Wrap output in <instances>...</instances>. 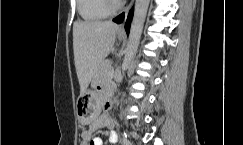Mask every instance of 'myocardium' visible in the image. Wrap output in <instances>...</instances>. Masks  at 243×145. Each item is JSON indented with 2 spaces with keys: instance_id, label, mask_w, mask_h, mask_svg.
<instances>
[{
  "instance_id": "f54148a6",
  "label": "myocardium",
  "mask_w": 243,
  "mask_h": 145,
  "mask_svg": "<svg viewBox=\"0 0 243 145\" xmlns=\"http://www.w3.org/2000/svg\"><path fill=\"white\" fill-rule=\"evenodd\" d=\"M103 1H104L105 7L111 13L119 10L122 7L121 0H103Z\"/></svg>"
}]
</instances>
